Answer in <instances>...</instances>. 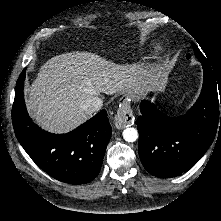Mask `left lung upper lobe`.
I'll return each instance as SVG.
<instances>
[{
  "label": "left lung upper lobe",
  "instance_id": "obj_1",
  "mask_svg": "<svg viewBox=\"0 0 221 221\" xmlns=\"http://www.w3.org/2000/svg\"><path fill=\"white\" fill-rule=\"evenodd\" d=\"M193 46L195 47L194 51L196 56L198 57V59L202 62H207V60L205 59V57L203 56V54L200 52V50L193 44Z\"/></svg>",
  "mask_w": 221,
  "mask_h": 221
}]
</instances>
